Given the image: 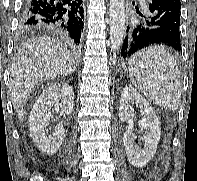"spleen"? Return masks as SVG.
Returning <instances> with one entry per match:
<instances>
[{
  "mask_svg": "<svg viewBox=\"0 0 197 181\" xmlns=\"http://www.w3.org/2000/svg\"><path fill=\"white\" fill-rule=\"evenodd\" d=\"M128 72L133 85L155 104L170 111L178 109L180 72L165 46L153 45L135 53L128 62Z\"/></svg>",
  "mask_w": 197,
  "mask_h": 181,
  "instance_id": "1",
  "label": "spleen"
}]
</instances>
